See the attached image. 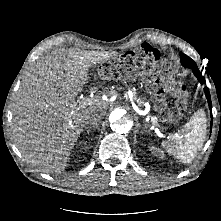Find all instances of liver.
<instances>
[{"label":"liver","instance_id":"1","mask_svg":"<svg viewBox=\"0 0 221 221\" xmlns=\"http://www.w3.org/2000/svg\"><path fill=\"white\" fill-rule=\"evenodd\" d=\"M117 54L59 50L30 68L13 104L11 126L15 145L27 163L45 173L65 169L90 118L95 114L104 117L107 110V103L99 97H76L88 81L89 69Z\"/></svg>","mask_w":221,"mask_h":221}]
</instances>
